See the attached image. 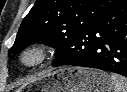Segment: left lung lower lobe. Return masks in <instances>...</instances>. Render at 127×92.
Instances as JSON below:
<instances>
[{
	"instance_id": "obj_1",
	"label": "left lung lower lobe",
	"mask_w": 127,
	"mask_h": 92,
	"mask_svg": "<svg viewBox=\"0 0 127 92\" xmlns=\"http://www.w3.org/2000/svg\"><path fill=\"white\" fill-rule=\"evenodd\" d=\"M53 66H83L127 77V0L77 34Z\"/></svg>"
}]
</instances>
